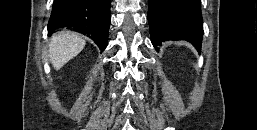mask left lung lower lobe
<instances>
[{"mask_svg":"<svg viewBox=\"0 0 257 130\" xmlns=\"http://www.w3.org/2000/svg\"><path fill=\"white\" fill-rule=\"evenodd\" d=\"M148 22L151 41L158 45L165 40H187L198 50L203 36L200 0H148Z\"/></svg>","mask_w":257,"mask_h":130,"instance_id":"1","label":"left lung lower lobe"}]
</instances>
